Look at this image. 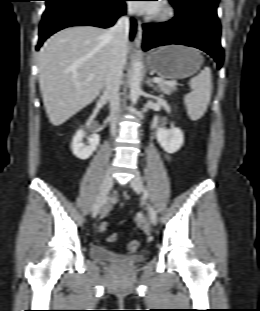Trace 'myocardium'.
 Returning a JSON list of instances; mask_svg holds the SVG:
<instances>
[{"mask_svg": "<svg viewBox=\"0 0 260 311\" xmlns=\"http://www.w3.org/2000/svg\"><path fill=\"white\" fill-rule=\"evenodd\" d=\"M174 15H175V11L173 7L168 3L167 0H165L159 6L155 14V19L161 22H166V21L171 20L174 17Z\"/></svg>", "mask_w": 260, "mask_h": 311, "instance_id": "f54148a6", "label": "myocardium"}]
</instances>
